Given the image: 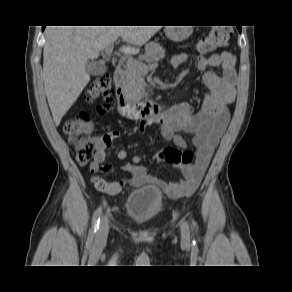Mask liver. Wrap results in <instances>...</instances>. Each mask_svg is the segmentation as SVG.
Masks as SVG:
<instances>
[{
  "instance_id": "1",
  "label": "liver",
  "mask_w": 292,
  "mask_h": 292,
  "mask_svg": "<svg viewBox=\"0 0 292 292\" xmlns=\"http://www.w3.org/2000/svg\"><path fill=\"white\" fill-rule=\"evenodd\" d=\"M160 26H47L43 50V80L56 126L90 81L89 59L121 37L127 42L120 51L135 55Z\"/></svg>"
}]
</instances>
